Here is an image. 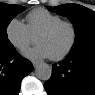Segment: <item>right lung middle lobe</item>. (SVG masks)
Segmentation results:
<instances>
[{
  "instance_id": "1",
  "label": "right lung middle lobe",
  "mask_w": 95,
  "mask_h": 95,
  "mask_svg": "<svg viewBox=\"0 0 95 95\" xmlns=\"http://www.w3.org/2000/svg\"><path fill=\"white\" fill-rule=\"evenodd\" d=\"M23 11L22 6L0 3V49L13 46L8 40L6 28L10 21Z\"/></svg>"
}]
</instances>
